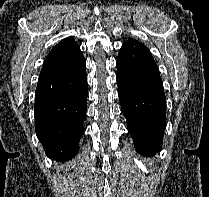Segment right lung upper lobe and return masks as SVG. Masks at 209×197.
<instances>
[{
    "instance_id": "right-lung-upper-lobe-1",
    "label": "right lung upper lobe",
    "mask_w": 209,
    "mask_h": 197,
    "mask_svg": "<svg viewBox=\"0 0 209 197\" xmlns=\"http://www.w3.org/2000/svg\"><path fill=\"white\" fill-rule=\"evenodd\" d=\"M79 50V46L75 40L70 38L61 40L48 54L40 75L58 68L73 57Z\"/></svg>"
}]
</instances>
